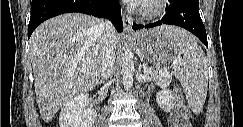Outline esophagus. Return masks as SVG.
Returning <instances> with one entry per match:
<instances>
[{
	"label": "esophagus",
	"mask_w": 243,
	"mask_h": 127,
	"mask_svg": "<svg viewBox=\"0 0 243 127\" xmlns=\"http://www.w3.org/2000/svg\"><path fill=\"white\" fill-rule=\"evenodd\" d=\"M122 20H123L124 31L128 34H132L133 33V29H132L133 19H132V17L129 14H127L125 11H123Z\"/></svg>",
	"instance_id": "34e87169"
}]
</instances>
